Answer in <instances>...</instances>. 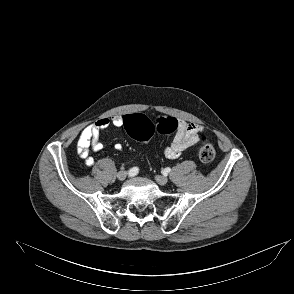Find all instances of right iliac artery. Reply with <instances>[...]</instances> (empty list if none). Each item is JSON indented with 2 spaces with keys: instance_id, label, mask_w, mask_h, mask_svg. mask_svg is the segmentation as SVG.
<instances>
[{
  "instance_id": "obj_1",
  "label": "right iliac artery",
  "mask_w": 294,
  "mask_h": 294,
  "mask_svg": "<svg viewBox=\"0 0 294 294\" xmlns=\"http://www.w3.org/2000/svg\"><path fill=\"white\" fill-rule=\"evenodd\" d=\"M138 173V168L134 167L132 169L129 170V175L130 176H135Z\"/></svg>"
}]
</instances>
